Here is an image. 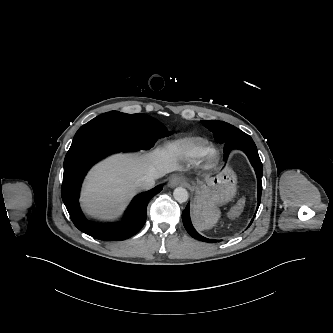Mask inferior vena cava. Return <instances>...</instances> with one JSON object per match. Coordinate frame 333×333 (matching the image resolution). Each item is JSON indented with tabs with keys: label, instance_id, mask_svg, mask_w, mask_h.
I'll return each instance as SVG.
<instances>
[{
	"label": "inferior vena cava",
	"instance_id": "1",
	"mask_svg": "<svg viewBox=\"0 0 333 333\" xmlns=\"http://www.w3.org/2000/svg\"><path fill=\"white\" fill-rule=\"evenodd\" d=\"M155 179V176L145 175L136 180V185L143 190H148L155 185Z\"/></svg>",
	"mask_w": 333,
	"mask_h": 333
}]
</instances>
